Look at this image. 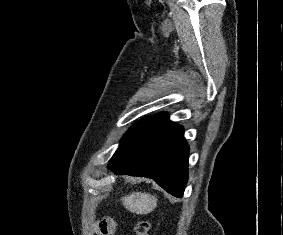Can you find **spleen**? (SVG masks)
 Wrapping results in <instances>:
<instances>
[{
    "instance_id": "spleen-1",
    "label": "spleen",
    "mask_w": 283,
    "mask_h": 235,
    "mask_svg": "<svg viewBox=\"0 0 283 235\" xmlns=\"http://www.w3.org/2000/svg\"><path fill=\"white\" fill-rule=\"evenodd\" d=\"M121 201L127 210L141 215L150 213L157 206V198L145 192H132Z\"/></svg>"
}]
</instances>
